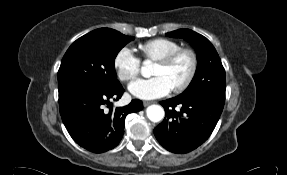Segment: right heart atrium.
Instances as JSON below:
<instances>
[{
    "label": "right heart atrium",
    "instance_id": "obj_1",
    "mask_svg": "<svg viewBox=\"0 0 287 175\" xmlns=\"http://www.w3.org/2000/svg\"><path fill=\"white\" fill-rule=\"evenodd\" d=\"M113 63L117 75L122 81H132L140 73L141 61L130 47H122L116 53Z\"/></svg>",
    "mask_w": 287,
    "mask_h": 175
}]
</instances>
